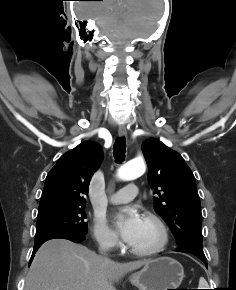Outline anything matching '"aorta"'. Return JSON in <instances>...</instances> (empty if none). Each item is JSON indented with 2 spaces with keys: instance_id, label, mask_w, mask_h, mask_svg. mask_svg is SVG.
I'll list each match as a JSON object with an SVG mask.
<instances>
[{
  "instance_id": "aorta-1",
  "label": "aorta",
  "mask_w": 236,
  "mask_h": 290,
  "mask_svg": "<svg viewBox=\"0 0 236 290\" xmlns=\"http://www.w3.org/2000/svg\"><path fill=\"white\" fill-rule=\"evenodd\" d=\"M145 170L142 160H131L118 169L117 177L123 181H131L143 175Z\"/></svg>"
}]
</instances>
